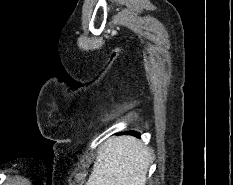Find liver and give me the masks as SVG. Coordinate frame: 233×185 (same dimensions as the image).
<instances>
[{
	"mask_svg": "<svg viewBox=\"0 0 233 185\" xmlns=\"http://www.w3.org/2000/svg\"><path fill=\"white\" fill-rule=\"evenodd\" d=\"M152 152L133 136L105 141L85 185H145Z\"/></svg>",
	"mask_w": 233,
	"mask_h": 185,
	"instance_id": "1",
	"label": "liver"
}]
</instances>
